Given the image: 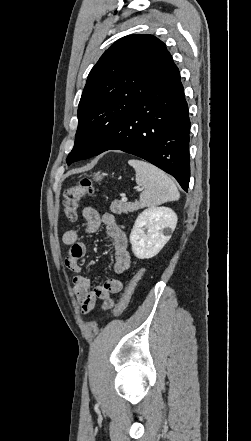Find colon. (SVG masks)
<instances>
[{
  "label": "colon",
  "mask_w": 251,
  "mask_h": 441,
  "mask_svg": "<svg viewBox=\"0 0 251 441\" xmlns=\"http://www.w3.org/2000/svg\"><path fill=\"white\" fill-rule=\"evenodd\" d=\"M93 193V183L87 178L82 179L77 185L65 190L63 199V211L69 222H73L76 220L79 204L82 198ZM140 278L141 274H138L130 280L129 284L125 288L122 296L120 297L118 303L113 310V318L119 317L125 311Z\"/></svg>",
  "instance_id": "colon-1"
}]
</instances>
